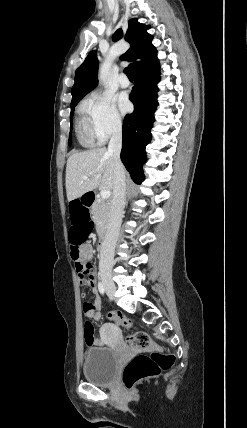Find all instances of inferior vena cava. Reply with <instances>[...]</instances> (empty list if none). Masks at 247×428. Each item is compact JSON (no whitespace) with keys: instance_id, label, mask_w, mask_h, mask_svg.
Masks as SVG:
<instances>
[{"instance_id":"inferior-vena-cava-1","label":"inferior vena cava","mask_w":247,"mask_h":428,"mask_svg":"<svg viewBox=\"0 0 247 428\" xmlns=\"http://www.w3.org/2000/svg\"><path fill=\"white\" fill-rule=\"evenodd\" d=\"M121 147L122 125L121 123H116L113 126L112 136L108 145V153L111 154L113 158L115 183L107 233L104 237L100 251V269H111L113 266L115 245L119 236L124 207L126 204V178L125 168L120 159Z\"/></svg>"}]
</instances>
